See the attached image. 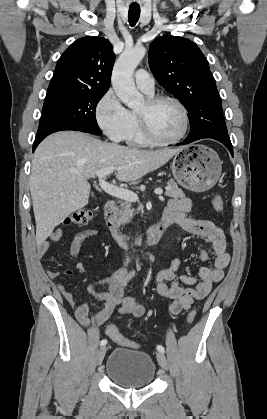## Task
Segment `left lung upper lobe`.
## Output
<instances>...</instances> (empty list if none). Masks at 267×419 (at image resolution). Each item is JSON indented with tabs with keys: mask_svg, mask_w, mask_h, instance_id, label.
Returning <instances> with one entry per match:
<instances>
[{
	"mask_svg": "<svg viewBox=\"0 0 267 419\" xmlns=\"http://www.w3.org/2000/svg\"><path fill=\"white\" fill-rule=\"evenodd\" d=\"M149 65L158 83L184 105L190 126L208 120L212 132H227L221 98L198 46L182 37L156 38L149 48Z\"/></svg>",
	"mask_w": 267,
	"mask_h": 419,
	"instance_id": "obj_1",
	"label": "left lung upper lobe"
}]
</instances>
